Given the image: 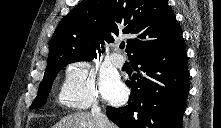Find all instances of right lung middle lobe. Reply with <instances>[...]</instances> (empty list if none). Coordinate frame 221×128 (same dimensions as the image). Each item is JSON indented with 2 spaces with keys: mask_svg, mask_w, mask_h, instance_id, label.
I'll list each match as a JSON object with an SVG mask.
<instances>
[{
  "mask_svg": "<svg viewBox=\"0 0 221 128\" xmlns=\"http://www.w3.org/2000/svg\"><path fill=\"white\" fill-rule=\"evenodd\" d=\"M76 61H89L84 59H66L58 63L49 64L46 67V71L44 74V78L42 82L40 83L38 95L33 101L31 108H39L46 102V98L48 96L49 90L52 86L53 80L55 79L57 73L65 67L67 64L76 62Z\"/></svg>",
  "mask_w": 221,
  "mask_h": 128,
  "instance_id": "dd1d6c3e",
  "label": "right lung middle lobe"
}]
</instances>
